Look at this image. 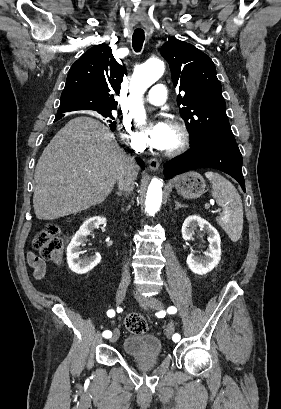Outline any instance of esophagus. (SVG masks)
I'll use <instances>...</instances> for the list:
<instances>
[{
    "instance_id": "1",
    "label": "esophagus",
    "mask_w": 281,
    "mask_h": 409,
    "mask_svg": "<svg viewBox=\"0 0 281 409\" xmlns=\"http://www.w3.org/2000/svg\"><path fill=\"white\" fill-rule=\"evenodd\" d=\"M160 164L159 161L157 159H150L149 160V168L151 170H157L159 168Z\"/></svg>"
}]
</instances>
